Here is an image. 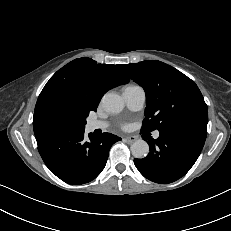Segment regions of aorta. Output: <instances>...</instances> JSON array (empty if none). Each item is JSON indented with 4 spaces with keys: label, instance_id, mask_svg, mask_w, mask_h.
<instances>
[{
    "label": "aorta",
    "instance_id": "aorta-1",
    "mask_svg": "<svg viewBox=\"0 0 231 231\" xmlns=\"http://www.w3.org/2000/svg\"><path fill=\"white\" fill-rule=\"evenodd\" d=\"M104 108L110 112L117 114L124 108V101L122 97L116 93H106L102 98ZM131 152L135 158H145L149 153V145L146 141L139 139L131 145Z\"/></svg>",
    "mask_w": 231,
    "mask_h": 231
}]
</instances>
